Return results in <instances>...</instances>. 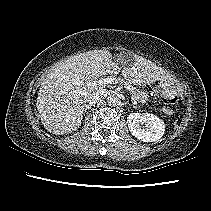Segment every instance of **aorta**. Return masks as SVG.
Wrapping results in <instances>:
<instances>
[{
  "mask_svg": "<svg viewBox=\"0 0 211 211\" xmlns=\"http://www.w3.org/2000/svg\"><path fill=\"white\" fill-rule=\"evenodd\" d=\"M119 103V98L117 96H110L108 100V104L110 106H117Z\"/></svg>",
  "mask_w": 211,
  "mask_h": 211,
  "instance_id": "obj_1",
  "label": "aorta"
}]
</instances>
